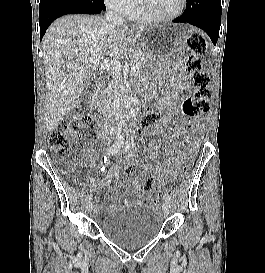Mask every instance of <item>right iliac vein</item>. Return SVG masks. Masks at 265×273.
I'll use <instances>...</instances> for the list:
<instances>
[{"mask_svg":"<svg viewBox=\"0 0 265 273\" xmlns=\"http://www.w3.org/2000/svg\"><path fill=\"white\" fill-rule=\"evenodd\" d=\"M92 210H93V203H92V202H88V203L86 204V211H87L88 213H91Z\"/></svg>","mask_w":265,"mask_h":273,"instance_id":"1","label":"right iliac vein"}]
</instances>
